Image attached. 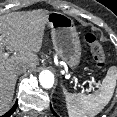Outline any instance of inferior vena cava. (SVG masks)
<instances>
[{"label": "inferior vena cava", "instance_id": "1", "mask_svg": "<svg viewBox=\"0 0 117 117\" xmlns=\"http://www.w3.org/2000/svg\"><path fill=\"white\" fill-rule=\"evenodd\" d=\"M25 70H26V68H18L17 72H18V74H20V73L24 72Z\"/></svg>", "mask_w": 117, "mask_h": 117}]
</instances>
